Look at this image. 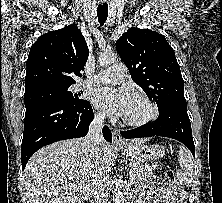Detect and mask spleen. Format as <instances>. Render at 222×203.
<instances>
[{
  "instance_id": "1",
  "label": "spleen",
  "mask_w": 222,
  "mask_h": 203,
  "mask_svg": "<svg viewBox=\"0 0 222 203\" xmlns=\"http://www.w3.org/2000/svg\"><path fill=\"white\" fill-rule=\"evenodd\" d=\"M179 163L181 169L177 171V179L181 184L190 186L194 180V163L190 152L183 146L179 150Z\"/></svg>"
}]
</instances>
